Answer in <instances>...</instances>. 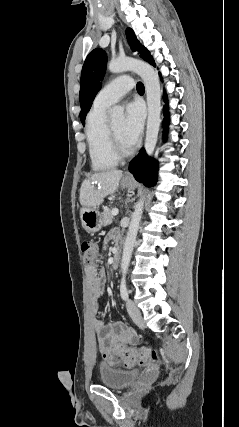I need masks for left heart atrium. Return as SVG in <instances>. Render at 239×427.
Masks as SVG:
<instances>
[{
    "label": "left heart atrium",
    "instance_id": "39dd6f15",
    "mask_svg": "<svg viewBox=\"0 0 239 427\" xmlns=\"http://www.w3.org/2000/svg\"><path fill=\"white\" fill-rule=\"evenodd\" d=\"M144 110L139 102H131L126 106L125 120L122 127L124 140L132 147L142 133Z\"/></svg>",
    "mask_w": 239,
    "mask_h": 427
}]
</instances>
